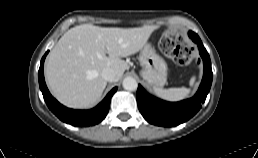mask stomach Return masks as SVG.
Returning <instances> with one entry per match:
<instances>
[{
    "label": "stomach",
    "mask_w": 258,
    "mask_h": 158,
    "mask_svg": "<svg viewBox=\"0 0 258 158\" xmlns=\"http://www.w3.org/2000/svg\"><path fill=\"white\" fill-rule=\"evenodd\" d=\"M140 72L150 85L162 87L167 81V65L150 44H145L139 55Z\"/></svg>",
    "instance_id": "obj_1"
}]
</instances>
